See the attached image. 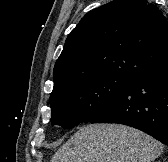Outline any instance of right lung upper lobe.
Masks as SVG:
<instances>
[{
	"instance_id": "1",
	"label": "right lung upper lobe",
	"mask_w": 168,
	"mask_h": 162,
	"mask_svg": "<svg viewBox=\"0 0 168 162\" xmlns=\"http://www.w3.org/2000/svg\"><path fill=\"white\" fill-rule=\"evenodd\" d=\"M168 63V22L147 0H113L88 12L68 35L53 92L96 77L131 78Z\"/></svg>"
}]
</instances>
